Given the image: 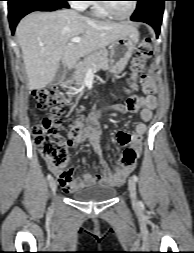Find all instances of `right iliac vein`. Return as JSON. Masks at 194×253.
<instances>
[{"mask_svg":"<svg viewBox=\"0 0 194 253\" xmlns=\"http://www.w3.org/2000/svg\"><path fill=\"white\" fill-rule=\"evenodd\" d=\"M49 184H50V188H51L53 194L55 195V193L57 191V183H56V181L54 179H51Z\"/></svg>","mask_w":194,"mask_h":253,"instance_id":"obj_1","label":"right iliac vein"}]
</instances>
